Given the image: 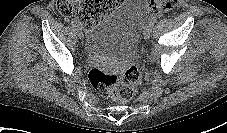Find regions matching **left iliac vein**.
<instances>
[{
	"mask_svg": "<svg viewBox=\"0 0 227 133\" xmlns=\"http://www.w3.org/2000/svg\"><path fill=\"white\" fill-rule=\"evenodd\" d=\"M151 32L152 26L148 23L143 30V37L145 40H148L150 38Z\"/></svg>",
	"mask_w": 227,
	"mask_h": 133,
	"instance_id": "obj_1",
	"label": "left iliac vein"
}]
</instances>
